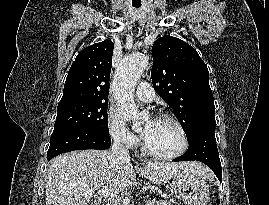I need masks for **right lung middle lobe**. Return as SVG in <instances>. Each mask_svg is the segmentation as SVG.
Returning <instances> with one entry per match:
<instances>
[{"instance_id":"1","label":"right lung middle lobe","mask_w":269,"mask_h":205,"mask_svg":"<svg viewBox=\"0 0 269 205\" xmlns=\"http://www.w3.org/2000/svg\"><path fill=\"white\" fill-rule=\"evenodd\" d=\"M108 102H86L58 106L54 129L78 127L109 135Z\"/></svg>"}]
</instances>
